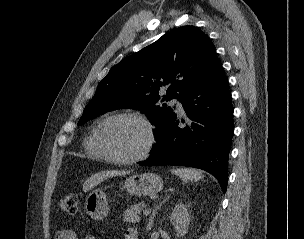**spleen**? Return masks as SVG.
Here are the masks:
<instances>
[{
	"label": "spleen",
	"instance_id": "spleen-1",
	"mask_svg": "<svg viewBox=\"0 0 304 239\" xmlns=\"http://www.w3.org/2000/svg\"><path fill=\"white\" fill-rule=\"evenodd\" d=\"M172 172L186 182H197L204 177L199 170L193 168H175Z\"/></svg>",
	"mask_w": 304,
	"mask_h": 239
}]
</instances>
